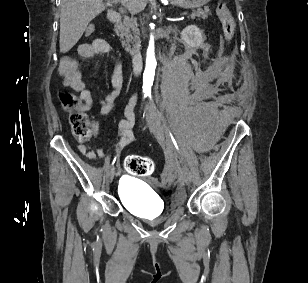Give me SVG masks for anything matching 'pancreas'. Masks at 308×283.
I'll return each instance as SVG.
<instances>
[{
	"instance_id": "pancreas-1",
	"label": "pancreas",
	"mask_w": 308,
	"mask_h": 283,
	"mask_svg": "<svg viewBox=\"0 0 308 283\" xmlns=\"http://www.w3.org/2000/svg\"><path fill=\"white\" fill-rule=\"evenodd\" d=\"M209 8L198 10L191 14V18L195 17L207 19ZM116 33L120 36L122 46H125L126 51L130 54H135L140 49V38L138 36L139 29L136 18L125 16L123 22L118 23L115 27Z\"/></svg>"
}]
</instances>
